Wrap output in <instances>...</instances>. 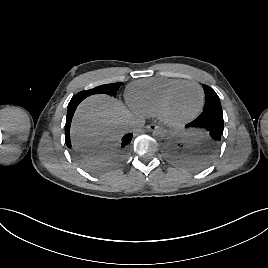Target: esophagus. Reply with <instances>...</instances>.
I'll return each instance as SVG.
<instances>
[{
	"instance_id": "34e87169",
	"label": "esophagus",
	"mask_w": 268,
	"mask_h": 268,
	"mask_svg": "<svg viewBox=\"0 0 268 268\" xmlns=\"http://www.w3.org/2000/svg\"><path fill=\"white\" fill-rule=\"evenodd\" d=\"M148 131H154L156 129H159L160 127L158 125L155 124H149L145 127Z\"/></svg>"
}]
</instances>
